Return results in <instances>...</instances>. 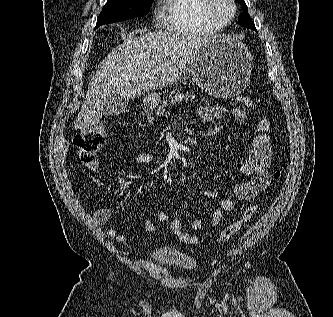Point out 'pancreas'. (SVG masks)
I'll list each match as a JSON object with an SVG mask.
<instances>
[{"label": "pancreas", "mask_w": 333, "mask_h": 317, "mask_svg": "<svg viewBox=\"0 0 333 317\" xmlns=\"http://www.w3.org/2000/svg\"><path fill=\"white\" fill-rule=\"evenodd\" d=\"M169 99H171L172 103L181 102L182 100H185L186 102L189 100L194 99V95H190L188 92L186 93H180L175 91H172L171 95H169ZM168 105V102L166 100L163 101L162 106H159L157 114H162L164 112V107Z\"/></svg>", "instance_id": "obj_1"}]
</instances>
